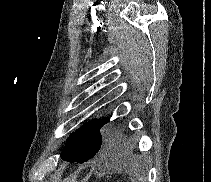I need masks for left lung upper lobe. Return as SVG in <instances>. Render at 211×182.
Masks as SVG:
<instances>
[{
    "label": "left lung upper lobe",
    "mask_w": 211,
    "mask_h": 182,
    "mask_svg": "<svg viewBox=\"0 0 211 182\" xmlns=\"http://www.w3.org/2000/svg\"><path fill=\"white\" fill-rule=\"evenodd\" d=\"M109 122V120H107ZM106 124V119H93L73 132L66 141L61 152V158L70 162H85L94 157L106 145V137L100 129Z\"/></svg>",
    "instance_id": "1"
}]
</instances>
